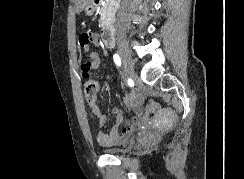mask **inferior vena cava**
<instances>
[{
	"label": "inferior vena cava",
	"mask_w": 244,
	"mask_h": 179,
	"mask_svg": "<svg viewBox=\"0 0 244 179\" xmlns=\"http://www.w3.org/2000/svg\"><path fill=\"white\" fill-rule=\"evenodd\" d=\"M116 28H117L118 32H122V30H123V28H121L120 24H117Z\"/></svg>",
	"instance_id": "inferior-vena-cava-1"
}]
</instances>
